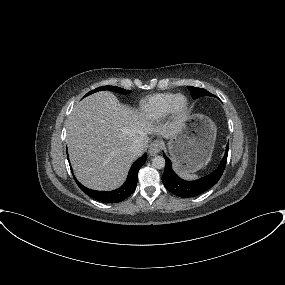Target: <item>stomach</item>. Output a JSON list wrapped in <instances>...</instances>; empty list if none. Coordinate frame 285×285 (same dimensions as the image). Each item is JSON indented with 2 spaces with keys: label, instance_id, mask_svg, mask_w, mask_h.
<instances>
[{
  "label": "stomach",
  "instance_id": "1",
  "mask_svg": "<svg viewBox=\"0 0 285 285\" xmlns=\"http://www.w3.org/2000/svg\"><path fill=\"white\" fill-rule=\"evenodd\" d=\"M216 134L217 128L210 118L192 116L168 143L175 170L189 173L207 165L211 160Z\"/></svg>",
  "mask_w": 285,
  "mask_h": 285
}]
</instances>
